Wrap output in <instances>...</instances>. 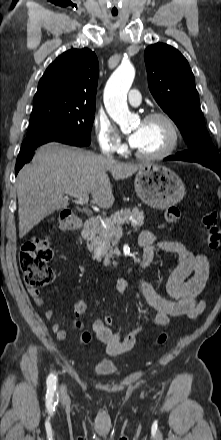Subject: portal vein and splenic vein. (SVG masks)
<instances>
[{
  "mask_svg": "<svg viewBox=\"0 0 221 440\" xmlns=\"http://www.w3.org/2000/svg\"><path fill=\"white\" fill-rule=\"evenodd\" d=\"M65 193L69 196H73V197L77 198L82 203H88V201H89V194L86 192L78 193V192L66 191ZM121 231H122V228L120 226L117 227L116 232H121Z\"/></svg>",
  "mask_w": 221,
  "mask_h": 440,
  "instance_id": "18ae733b",
  "label": "portal vein and splenic vein"
}]
</instances>
